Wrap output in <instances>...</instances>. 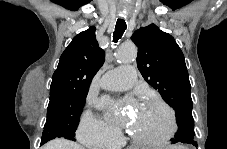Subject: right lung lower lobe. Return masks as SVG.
Instances as JSON below:
<instances>
[{
  "label": "right lung lower lobe",
  "instance_id": "1",
  "mask_svg": "<svg viewBox=\"0 0 227 149\" xmlns=\"http://www.w3.org/2000/svg\"><path fill=\"white\" fill-rule=\"evenodd\" d=\"M55 138L54 136H46L41 140V145H43L44 143L48 142L49 140ZM66 139H70V140H75L74 137H64Z\"/></svg>",
  "mask_w": 227,
  "mask_h": 149
}]
</instances>
